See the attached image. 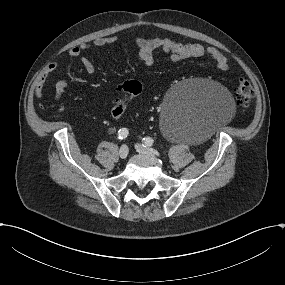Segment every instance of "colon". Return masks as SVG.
<instances>
[{
	"label": "colon",
	"mask_w": 285,
	"mask_h": 285,
	"mask_svg": "<svg viewBox=\"0 0 285 285\" xmlns=\"http://www.w3.org/2000/svg\"><path fill=\"white\" fill-rule=\"evenodd\" d=\"M123 97L112 108V116L121 117L130 99L137 97L142 92V84L137 80H127L121 85ZM254 96V90L250 82L243 80L235 89V102L239 106H247Z\"/></svg>",
	"instance_id": "1"
}]
</instances>
